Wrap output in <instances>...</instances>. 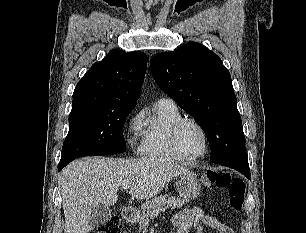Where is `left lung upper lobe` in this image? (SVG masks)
Returning a JSON list of instances; mask_svg holds the SVG:
<instances>
[{
  "label": "left lung upper lobe",
  "mask_w": 306,
  "mask_h": 233,
  "mask_svg": "<svg viewBox=\"0 0 306 233\" xmlns=\"http://www.w3.org/2000/svg\"><path fill=\"white\" fill-rule=\"evenodd\" d=\"M159 87L194 117L211 147V162L248 159L231 76L221 59L192 42L151 60Z\"/></svg>",
  "instance_id": "5c2ea615"
}]
</instances>
